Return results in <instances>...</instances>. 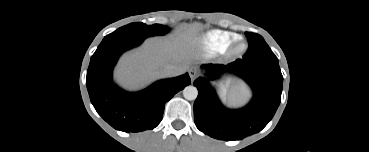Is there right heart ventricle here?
<instances>
[{"label": "right heart ventricle", "instance_id": "obj_1", "mask_svg": "<svg viewBox=\"0 0 369 152\" xmlns=\"http://www.w3.org/2000/svg\"><path fill=\"white\" fill-rule=\"evenodd\" d=\"M238 38L239 36L232 32L212 30L205 34L204 46L209 54H215L230 47Z\"/></svg>", "mask_w": 369, "mask_h": 152}]
</instances>
